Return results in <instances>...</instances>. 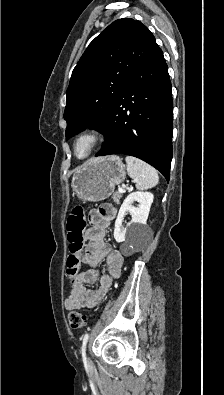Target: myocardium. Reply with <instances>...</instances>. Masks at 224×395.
<instances>
[{
	"label": "myocardium",
	"instance_id": "myocardium-1",
	"mask_svg": "<svg viewBox=\"0 0 224 395\" xmlns=\"http://www.w3.org/2000/svg\"><path fill=\"white\" fill-rule=\"evenodd\" d=\"M101 138H102L101 132L96 127H89V128H86L85 130L81 131L75 137L74 142H73V153H74L75 157L80 160L88 158L93 153L95 148L98 146ZM81 140H88L89 141L88 151L82 157L78 156L76 153L77 145Z\"/></svg>",
	"mask_w": 224,
	"mask_h": 395
}]
</instances>
